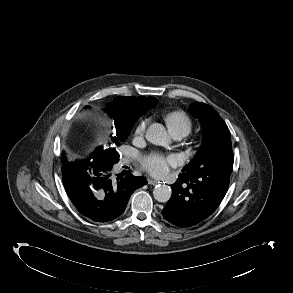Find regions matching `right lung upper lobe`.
<instances>
[{"label": "right lung upper lobe", "instance_id": "right-lung-upper-lobe-1", "mask_svg": "<svg viewBox=\"0 0 293 293\" xmlns=\"http://www.w3.org/2000/svg\"><path fill=\"white\" fill-rule=\"evenodd\" d=\"M157 104V99L154 97H125L119 96L108 103L105 108L107 114L114 119L116 131L122 127L134 125L139 117L147 110L153 108ZM97 149V153L101 151ZM103 149V148H102ZM105 151V150H104ZM96 153V152H94ZM62 172L68 170L74 163H68L65 158L62 159Z\"/></svg>", "mask_w": 293, "mask_h": 293}]
</instances>
